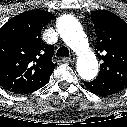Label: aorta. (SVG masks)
Segmentation results:
<instances>
[{
	"instance_id": "obj_1",
	"label": "aorta",
	"mask_w": 127,
	"mask_h": 127,
	"mask_svg": "<svg viewBox=\"0 0 127 127\" xmlns=\"http://www.w3.org/2000/svg\"><path fill=\"white\" fill-rule=\"evenodd\" d=\"M58 31L64 42L76 52L77 72L84 80H92L98 73V61L89 47L80 23L72 16L64 15L57 22Z\"/></svg>"
}]
</instances>
